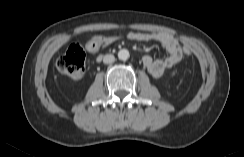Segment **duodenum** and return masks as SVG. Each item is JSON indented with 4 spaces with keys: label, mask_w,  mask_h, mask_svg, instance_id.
<instances>
[{
    "label": "duodenum",
    "mask_w": 244,
    "mask_h": 157,
    "mask_svg": "<svg viewBox=\"0 0 244 157\" xmlns=\"http://www.w3.org/2000/svg\"><path fill=\"white\" fill-rule=\"evenodd\" d=\"M102 58H103V56H102V55H100V56L98 57V60L100 61Z\"/></svg>",
    "instance_id": "410a0bca"
}]
</instances>
